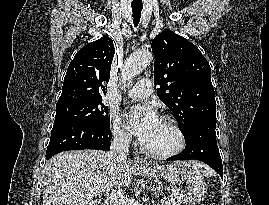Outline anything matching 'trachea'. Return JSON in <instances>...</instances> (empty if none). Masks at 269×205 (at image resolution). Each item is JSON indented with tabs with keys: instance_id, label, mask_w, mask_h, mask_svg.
Returning <instances> with one entry per match:
<instances>
[{
	"instance_id": "3493384b",
	"label": "trachea",
	"mask_w": 269,
	"mask_h": 205,
	"mask_svg": "<svg viewBox=\"0 0 269 205\" xmlns=\"http://www.w3.org/2000/svg\"><path fill=\"white\" fill-rule=\"evenodd\" d=\"M143 9V5H132V12H133V22L135 27L138 26L140 18H141V11Z\"/></svg>"
}]
</instances>
